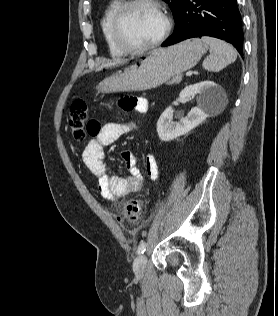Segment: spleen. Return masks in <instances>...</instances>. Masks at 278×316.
Here are the masks:
<instances>
[{
	"instance_id": "spleen-1",
	"label": "spleen",
	"mask_w": 278,
	"mask_h": 316,
	"mask_svg": "<svg viewBox=\"0 0 278 316\" xmlns=\"http://www.w3.org/2000/svg\"><path fill=\"white\" fill-rule=\"evenodd\" d=\"M201 40L210 46V55L203 61L204 69L217 72L236 60L237 53L228 43L207 36Z\"/></svg>"
}]
</instances>
